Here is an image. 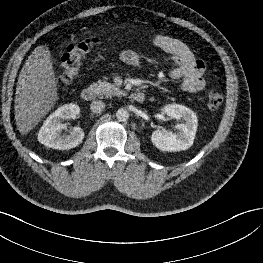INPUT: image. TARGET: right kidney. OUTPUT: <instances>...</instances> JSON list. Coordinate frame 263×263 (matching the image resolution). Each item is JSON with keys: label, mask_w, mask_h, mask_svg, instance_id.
<instances>
[{"label": "right kidney", "mask_w": 263, "mask_h": 263, "mask_svg": "<svg viewBox=\"0 0 263 263\" xmlns=\"http://www.w3.org/2000/svg\"><path fill=\"white\" fill-rule=\"evenodd\" d=\"M80 113L76 104H65L53 112L43 123L38 133V141L46 147L69 150L78 146L84 139V132L80 127H74L70 134L63 135L65 126L63 119H74Z\"/></svg>", "instance_id": "1"}]
</instances>
